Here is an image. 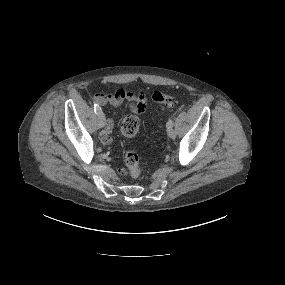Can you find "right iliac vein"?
I'll use <instances>...</instances> for the list:
<instances>
[{
  "label": "right iliac vein",
  "instance_id": "right-iliac-vein-1",
  "mask_svg": "<svg viewBox=\"0 0 285 285\" xmlns=\"http://www.w3.org/2000/svg\"><path fill=\"white\" fill-rule=\"evenodd\" d=\"M97 124L99 128L104 127L105 125V117L103 113L97 115Z\"/></svg>",
  "mask_w": 285,
  "mask_h": 285
}]
</instances>
